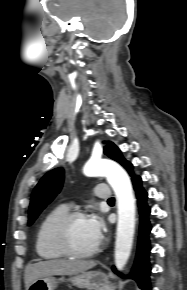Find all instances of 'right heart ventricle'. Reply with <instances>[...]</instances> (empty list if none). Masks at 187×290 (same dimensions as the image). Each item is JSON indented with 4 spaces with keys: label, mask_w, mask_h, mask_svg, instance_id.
Here are the masks:
<instances>
[{
    "label": "right heart ventricle",
    "mask_w": 187,
    "mask_h": 290,
    "mask_svg": "<svg viewBox=\"0 0 187 290\" xmlns=\"http://www.w3.org/2000/svg\"><path fill=\"white\" fill-rule=\"evenodd\" d=\"M69 211L65 204L53 207L41 220L35 238L36 253L44 260H57L65 255L58 249L53 237L57 221Z\"/></svg>",
    "instance_id": "right-heart-ventricle-1"
}]
</instances>
